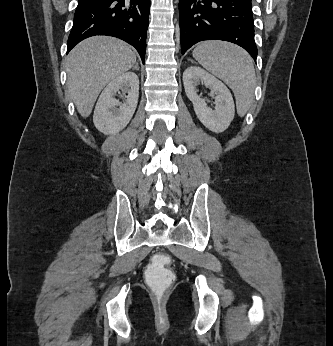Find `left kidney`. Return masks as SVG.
Returning a JSON list of instances; mask_svg holds the SVG:
<instances>
[{
    "label": "left kidney",
    "instance_id": "obj_1",
    "mask_svg": "<svg viewBox=\"0 0 333 346\" xmlns=\"http://www.w3.org/2000/svg\"><path fill=\"white\" fill-rule=\"evenodd\" d=\"M183 83L187 97L192 101L194 111L201 123L215 133L225 131L234 118L235 107L229 89L216 77L204 69L191 66L183 73ZM200 83L211 89L215 97V109L207 106L205 99L200 98L196 86Z\"/></svg>",
    "mask_w": 333,
    "mask_h": 346
}]
</instances>
